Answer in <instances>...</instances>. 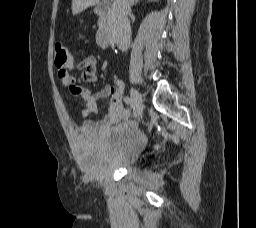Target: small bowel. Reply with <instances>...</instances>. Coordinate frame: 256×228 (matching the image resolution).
I'll use <instances>...</instances> for the list:
<instances>
[{
    "mask_svg": "<svg viewBox=\"0 0 256 228\" xmlns=\"http://www.w3.org/2000/svg\"><path fill=\"white\" fill-rule=\"evenodd\" d=\"M56 67L63 87L67 89L72 97L81 100L85 106V109L81 112V118H86L88 115L96 112L98 100L111 97L108 113L99 121L85 120L80 127L82 133H105L112 125L127 118V112L121 103V90L118 86L106 85L101 90L93 92L82 85L83 83H94L97 81L98 68L96 57L88 55L80 60H76L70 56L64 65ZM74 69L82 70L79 78L72 75Z\"/></svg>",
    "mask_w": 256,
    "mask_h": 228,
    "instance_id": "1",
    "label": "small bowel"
}]
</instances>
